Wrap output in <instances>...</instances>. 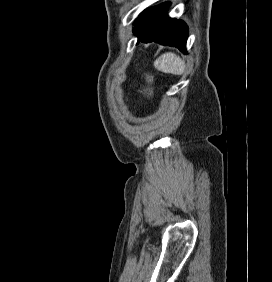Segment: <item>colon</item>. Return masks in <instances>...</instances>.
Returning a JSON list of instances; mask_svg holds the SVG:
<instances>
[{
    "label": "colon",
    "mask_w": 272,
    "mask_h": 282,
    "mask_svg": "<svg viewBox=\"0 0 272 282\" xmlns=\"http://www.w3.org/2000/svg\"><path fill=\"white\" fill-rule=\"evenodd\" d=\"M147 80H148V82H150L151 79L148 78ZM142 93H143V96L145 98H148L150 96V94H151V89L148 86L144 87L143 90H142Z\"/></svg>",
    "instance_id": "5ec220e1"
}]
</instances>
